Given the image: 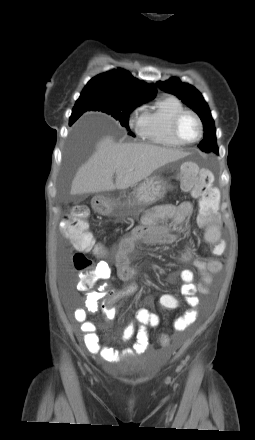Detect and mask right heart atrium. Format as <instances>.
<instances>
[{
	"instance_id": "obj_1",
	"label": "right heart atrium",
	"mask_w": 255,
	"mask_h": 440,
	"mask_svg": "<svg viewBox=\"0 0 255 440\" xmlns=\"http://www.w3.org/2000/svg\"><path fill=\"white\" fill-rule=\"evenodd\" d=\"M140 111H141L140 108L134 110V112L131 114V122H133L135 119H138V125H139V122H140V118H141V117L138 118V116H139Z\"/></svg>"
}]
</instances>
